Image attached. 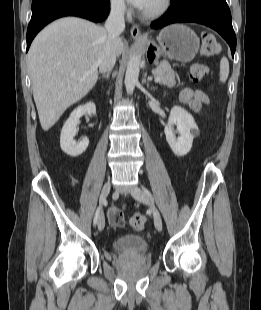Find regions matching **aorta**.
Returning a JSON list of instances; mask_svg holds the SVG:
<instances>
[{
	"instance_id": "obj_1",
	"label": "aorta",
	"mask_w": 261,
	"mask_h": 310,
	"mask_svg": "<svg viewBox=\"0 0 261 310\" xmlns=\"http://www.w3.org/2000/svg\"><path fill=\"white\" fill-rule=\"evenodd\" d=\"M140 70V57L134 54L130 57L126 74H125V87L127 94H132L135 86L138 84V76Z\"/></svg>"
}]
</instances>
